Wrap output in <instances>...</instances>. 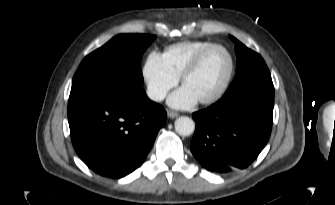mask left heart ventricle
<instances>
[{
	"mask_svg": "<svg viewBox=\"0 0 335 205\" xmlns=\"http://www.w3.org/2000/svg\"><path fill=\"white\" fill-rule=\"evenodd\" d=\"M230 68L228 55L222 49H214L204 58L199 69L184 83L196 98L201 100L214 94L225 80Z\"/></svg>",
	"mask_w": 335,
	"mask_h": 205,
	"instance_id": "1",
	"label": "left heart ventricle"
}]
</instances>
